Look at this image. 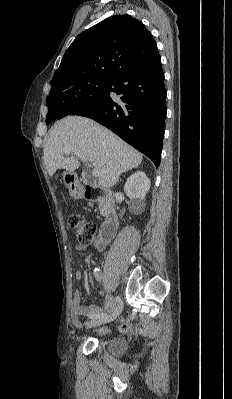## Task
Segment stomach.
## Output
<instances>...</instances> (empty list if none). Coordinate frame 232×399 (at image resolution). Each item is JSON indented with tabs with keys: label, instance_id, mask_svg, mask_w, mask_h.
<instances>
[{
	"label": "stomach",
	"instance_id": "0dacf381",
	"mask_svg": "<svg viewBox=\"0 0 232 399\" xmlns=\"http://www.w3.org/2000/svg\"><path fill=\"white\" fill-rule=\"evenodd\" d=\"M63 182L66 188H68L70 194H73L75 198H81V192H78L77 190V186L75 184V174H73V172H64Z\"/></svg>",
	"mask_w": 232,
	"mask_h": 399
}]
</instances>
